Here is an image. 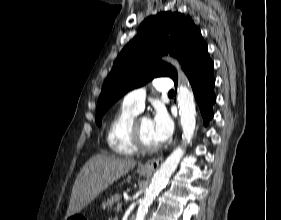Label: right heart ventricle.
<instances>
[{"label":"right heart ventricle","mask_w":281,"mask_h":220,"mask_svg":"<svg viewBox=\"0 0 281 220\" xmlns=\"http://www.w3.org/2000/svg\"><path fill=\"white\" fill-rule=\"evenodd\" d=\"M139 112L122 103L120 109L112 118L107 131V144L117 155L130 157L137 154V150L130 140V128Z\"/></svg>","instance_id":"e07e8e85"}]
</instances>
